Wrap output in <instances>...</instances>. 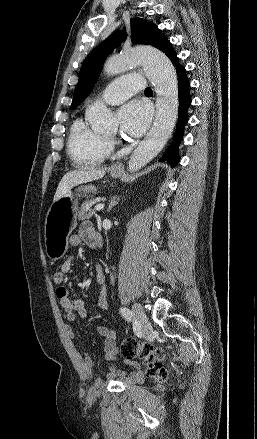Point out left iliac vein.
Returning a JSON list of instances; mask_svg holds the SVG:
<instances>
[{"label":"left iliac vein","mask_w":257,"mask_h":439,"mask_svg":"<svg viewBox=\"0 0 257 439\" xmlns=\"http://www.w3.org/2000/svg\"><path fill=\"white\" fill-rule=\"evenodd\" d=\"M134 323L140 326L144 334L149 332L148 319L143 307L139 303H135L132 307Z\"/></svg>","instance_id":"obj_1"}]
</instances>
